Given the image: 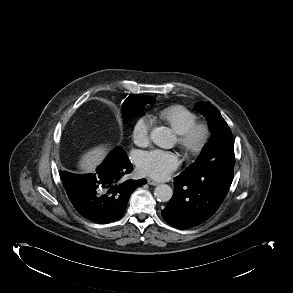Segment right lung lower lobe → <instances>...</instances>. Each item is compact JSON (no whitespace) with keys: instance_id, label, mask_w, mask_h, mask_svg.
<instances>
[{"instance_id":"98d812e1","label":"right lung lower lobe","mask_w":293,"mask_h":293,"mask_svg":"<svg viewBox=\"0 0 293 293\" xmlns=\"http://www.w3.org/2000/svg\"><path fill=\"white\" fill-rule=\"evenodd\" d=\"M133 166L121 147L112 151L93 174L75 175L60 171L66 193L80 215L105 224L119 218L126 210L131 193L147 183L145 179L124 180Z\"/></svg>"}]
</instances>
